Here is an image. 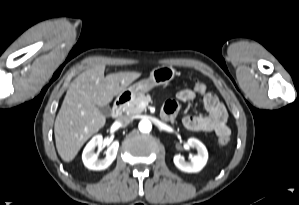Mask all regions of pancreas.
I'll list each match as a JSON object with an SVG mask.
<instances>
[{
  "instance_id": "pancreas-1",
  "label": "pancreas",
  "mask_w": 299,
  "mask_h": 205,
  "mask_svg": "<svg viewBox=\"0 0 299 205\" xmlns=\"http://www.w3.org/2000/svg\"><path fill=\"white\" fill-rule=\"evenodd\" d=\"M142 102L148 104L149 102H151V96L144 94L137 96L124 106L123 111L129 116L140 114L145 110V108L140 107V104Z\"/></svg>"
}]
</instances>
